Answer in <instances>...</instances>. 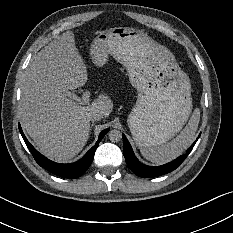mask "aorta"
<instances>
[{"label":"aorta","instance_id":"aorta-1","mask_svg":"<svg viewBox=\"0 0 233 233\" xmlns=\"http://www.w3.org/2000/svg\"><path fill=\"white\" fill-rule=\"evenodd\" d=\"M122 138V133L117 130L113 129L109 132V139L111 142H119Z\"/></svg>","mask_w":233,"mask_h":233}]
</instances>
